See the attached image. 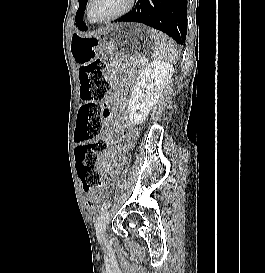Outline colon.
I'll return each instance as SVG.
<instances>
[{"label": "colon", "instance_id": "1", "mask_svg": "<svg viewBox=\"0 0 265 273\" xmlns=\"http://www.w3.org/2000/svg\"><path fill=\"white\" fill-rule=\"evenodd\" d=\"M105 64L100 60L85 62L80 67L81 106L78 113L75 140L77 174L83 188L88 192L87 203L96 205L103 185V173L97 167L98 154L105 151L107 141L98 138L103 129V121L109 115L104 102L110 92V84L104 75Z\"/></svg>", "mask_w": 265, "mask_h": 273}]
</instances>
